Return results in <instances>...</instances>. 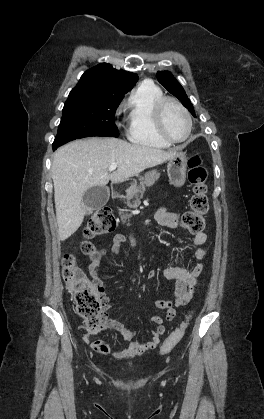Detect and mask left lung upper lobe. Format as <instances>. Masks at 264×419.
<instances>
[{
    "label": "left lung upper lobe",
    "instance_id": "5c2ea615",
    "mask_svg": "<svg viewBox=\"0 0 264 419\" xmlns=\"http://www.w3.org/2000/svg\"><path fill=\"white\" fill-rule=\"evenodd\" d=\"M156 76L159 83H161L171 94L177 97L189 110V112L196 117L190 99L187 97L181 84L173 77V75L170 72L158 71Z\"/></svg>",
    "mask_w": 264,
    "mask_h": 419
}]
</instances>
